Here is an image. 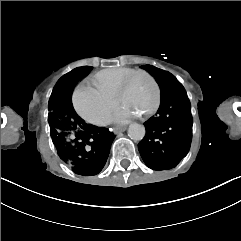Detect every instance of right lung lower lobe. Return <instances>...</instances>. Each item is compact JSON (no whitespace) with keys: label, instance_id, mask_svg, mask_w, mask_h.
I'll list each match as a JSON object with an SVG mask.
<instances>
[{"label":"right lung lower lobe","instance_id":"obj_1","mask_svg":"<svg viewBox=\"0 0 241 241\" xmlns=\"http://www.w3.org/2000/svg\"><path fill=\"white\" fill-rule=\"evenodd\" d=\"M89 71V66L72 70L67 77L68 90L72 92L77 82ZM62 111L63 123L72 139L55 144L58 155L76 174H98L107 161L115 135L104 127L85 123L73 108H63Z\"/></svg>","mask_w":241,"mask_h":241}]
</instances>
